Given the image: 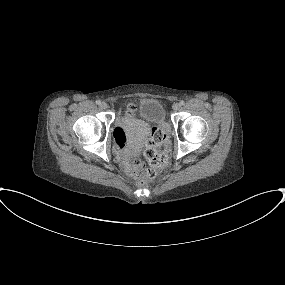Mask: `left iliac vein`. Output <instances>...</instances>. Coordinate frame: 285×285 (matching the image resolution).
Wrapping results in <instances>:
<instances>
[{"instance_id": "1", "label": "left iliac vein", "mask_w": 285, "mask_h": 285, "mask_svg": "<svg viewBox=\"0 0 285 285\" xmlns=\"http://www.w3.org/2000/svg\"><path fill=\"white\" fill-rule=\"evenodd\" d=\"M181 108V105L179 103L173 104V110L178 111Z\"/></svg>"}]
</instances>
